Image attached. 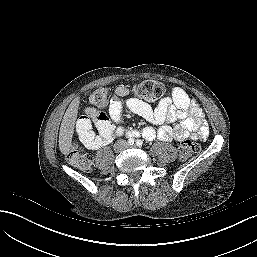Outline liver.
Here are the masks:
<instances>
[{
    "label": "liver",
    "instance_id": "liver-1",
    "mask_svg": "<svg viewBox=\"0 0 257 257\" xmlns=\"http://www.w3.org/2000/svg\"><path fill=\"white\" fill-rule=\"evenodd\" d=\"M79 108V97H76L70 103L61 122L59 131V149L62 154H69L72 146L75 121L77 119Z\"/></svg>",
    "mask_w": 257,
    "mask_h": 257
}]
</instances>
